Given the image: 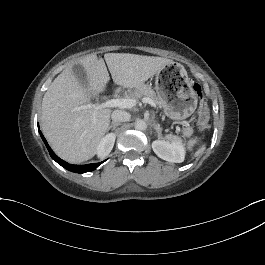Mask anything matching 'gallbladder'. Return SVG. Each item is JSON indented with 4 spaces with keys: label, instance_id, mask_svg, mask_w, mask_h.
Returning a JSON list of instances; mask_svg holds the SVG:
<instances>
[{
    "label": "gallbladder",
    "instance_id": "bac80fb5",
    "mask_svg": "<svg viewBox=\"0 0 265 265\" xmlns=\"http://www.w3.org/2000/svg\"><path fill=\"white\" fill-rule=\"evenodd\" d=\"M72 71L77 79V81L83 85L84 87L87 86V74L84 67L80 64L73 65Z\"/></svg>",
    "mask_w": 265,
    "mask_h": 265
}]
</instances>
